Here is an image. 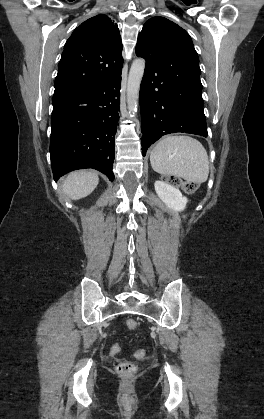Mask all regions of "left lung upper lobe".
I'll return each instance as SVG.
<instances>
[{
    "instance_id": "obj_1",
    "label": "left lung upper lobe",
    "mask_w": 264,
    "mask_h": 419,
    "mask_svg": "<svg viewBox=\"0 0 264 419\" xmlns=\"http://www.w3.org/2000/svg\"><path fill=\"white\" fill-rule=\"evenodd\" d=\"M154 49L158 66L166 77H178L186 82L200 81L199 58L189 34L174 22L153 17L138 35L136 53Z\"/></svg>"
}]
</instances>
